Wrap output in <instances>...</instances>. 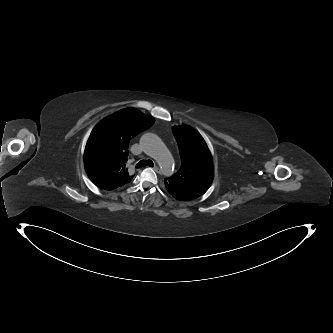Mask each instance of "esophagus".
Returning a JSON list of instances; mask_svg holds the SVG:
<instances>
[{
	"label": "esophagus",
	"instance_id": "esophagus-1",
	"mask_svg": "<svg viewBox=\"0 0 333 333\" xmlns=\"http://www.w3.org/2000/svg\"><path fill=\"white\" fill-rule=\"evenodd\" d=\"M153 169H154L157 173H160V172H161V169H160L158 166H154Z\"/></svg>",
	"mask_w": 333,
	"mask_h": 333
}]
</instances>
